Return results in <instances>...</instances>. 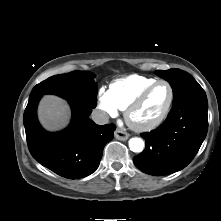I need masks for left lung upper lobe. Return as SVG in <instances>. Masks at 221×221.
Here are the masks:
<instances>
[{"label":"left lung upper lobe","instance_id":"5c2ea615","mask_svg":"<svg viewBox=\"0 0 221 221\" xmlns=\"http://www.w3.org/2000/svg\"><path fill=\"white\" fill-rule=\"evenodd\" d=\"M156 74L170 83L173 89V101L189 92L202 89L190 74L177 68L158 70Z\"/></svg>","mask_w":221,"mask_h":221}]
</instances>
